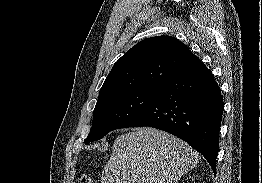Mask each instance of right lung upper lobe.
I'll return each instance as SVG.
<instances>
[{
  "label": "right lung upper lobe",
  "instance_id": "1",
  "mask_svg": "<svg viewBox=\"0 0 262 183\" xmlns=\"http://www.w3.org/2000/svg\"><path fill=\"white\" fill-rule=\"evenodd\" d=\"M204 64L188 47L170 36L140 41L114 64L99 96L129 89L158 90Z\"/></svg>",
  "mask_w": 262,
  "mask_h": 183
}]
</instances>
